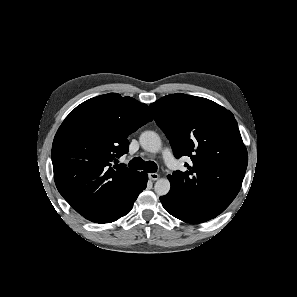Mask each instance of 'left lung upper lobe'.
<instances>
[{
	"label": "left lung upper lobe",
	"mask_w": 297,
	"mask_h": 297,
	"mask_svg": "<svg viewBox=\"0 0 297 297\" xmlns=\"http://www.w3.org/2000/svg\"><path fill=\"white\" fill-rule=\"evenodd\" d=\"M176 158L191 157L186 172L168 175L171 192L211 217L238 194L248 154L232 112L206 98L170 94L150 104Z\"/></svg>",
	"instance_id": "left-lung-upper-lobe-1"
}]
</instances>
